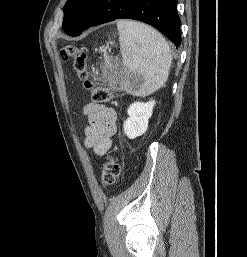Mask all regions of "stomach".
I'll return each mask as SVG.
<instances>
[{"mask_svg":"<svg viewBox=\"0 0 247 257\" xmlns=\"http://www.w3.org/2000/svg\"><path fill=\"white\" fill-rule=\"evenodd\" d=\"M132 80L133 79L128 77L124 69H122L119 73V77L115 80V82L118 83L124 89H129L132 86Z\"/></svg>","mask_w":247,"mask_h":257,"instance_id":"obj_1","label":"stomach"}]
</instances>
